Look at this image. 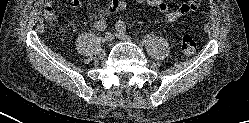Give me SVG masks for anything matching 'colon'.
<instances>
[{
	"instance_id": "5ec220e1",
	"label": "colon",
	"mask_w": 249,
	"mask_h": 123,
	"mask_svg": "<svg viewBox=\"0 0 249 123\" xmlns=\"http://www.w3.org/2000/svg\"><path fill=\"white\" fill-rule=\"evenodd\" d=\"M197 44L191 35H184L181 39V50L186 56H191L195 53Z\"/></svg>"
}]
</instances>
